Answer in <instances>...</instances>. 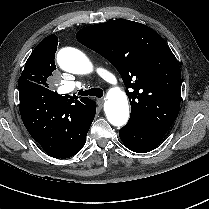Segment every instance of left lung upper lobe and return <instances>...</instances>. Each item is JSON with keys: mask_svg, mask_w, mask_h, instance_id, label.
I'll list each match as a JSON object with an SVG mask.
<instances>
[{"mask_svg": "<svg viewBox=\"0 0 209 209\" xmlns=\"http://www.w3.org/2000/svg\"><path fill=\"white\" fill-rule=\"evenodd\" d=\"M76 38L120 73L131 104L129 121L164 136L179 113L181 71L162 37L146 25L117 19L84 27Z\"/></svg>", "mask_w": 209, "mask_h": 209, "instance_id": "5c2ea615", "label": "left lung upper lobe"}]
</instances>
